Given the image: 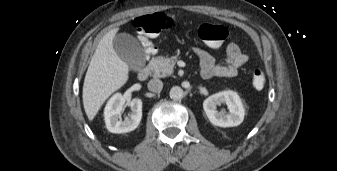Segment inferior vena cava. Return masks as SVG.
<instances>
[{
	"label": "inferior vena cava",
	"instance_id": "1",
	"mask_svg": "<svg viewBox=\"0 0 337 171\" xmlns=\"http://www.w3.org/2000/svg\"><path fill=\"white\" fill-rule=\"evenodd\" d=\"M163 88V82L160 79H151L148 82V89L152 92H160Z\"/></svg>",
	"mask_w": 337,
	"mask_h": 171
}]
</instances>
